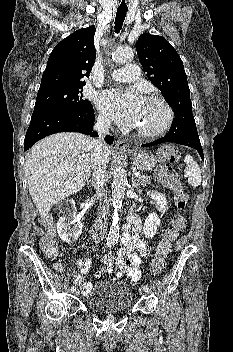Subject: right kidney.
<instances>
[{
    "instance_id": "right-kidney-1",
    "label": "right kidney",
    "mask_w": 233,
    "mask_h": 352,
    "mask_svg": "<svg viewBox=\"0 0 233 352\" xmlns=\"http://www.w3.org/2000/svg\"><path fill=\"white\" fill-rule=\"evenodd\" d=\"M72 212L61 216L57 222V232L60 239L66 243L76 241L82 233L83 224L77 218L75 203H71Z\"/></svg>"
}]
</instances>
